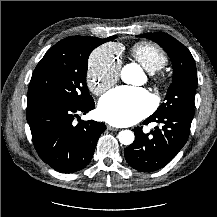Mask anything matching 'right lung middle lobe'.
<instances>
[{
  "label": "right lung middle lobe",
  "mask_w": 217,
  "mask_h": 217,
  "mask_svg": "<svg viewBox=\"0 0 217 217\" xmlns=\"http://www.w3.org/2000/svg\"><path fill=\"white\" fill-rule=\"evenodd\" d=\"M102 43L96 37L70 36L51 47L32 74L28 106L42 103L81 106L92 101L86 85L88 57Z\"/></svg>",
  "instance_id": "dd1d6c3e"
}]
</instances>
